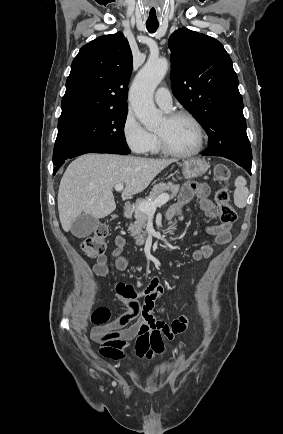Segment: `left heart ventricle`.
<instances>
[{
    "label": "left heart ventricle",
    "instance_id": "left-heart-ventricle-1",
    "mask_svg": "<svg viewBox=\"0 0 283 434\" xmlns=\"http://www.w3.org/2000/svg\"><path fill=\"white\" fill-rule=\"evenodd\" d=\"M156 132L160 133L175 151L188 152L196 146V130L193 124L185 118L170 121L165 117Z\"/></svg>",
    "mask_w": 283,
    "mask_h": 434
}]
</instances>
